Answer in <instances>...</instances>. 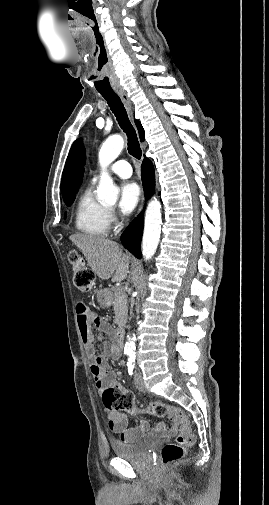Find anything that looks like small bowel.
<instances>
[{
    "mask_svg": "<svg viewBox=\"0 0 269 505\" xmlns=\"http://www.w3.org/2000/svg\"><path fill=\"white\" fill-rule=\"evenodd\" d=\"M77 319L85 354L90 363L91 375L94 378L97 390L103 392L114 384L115 381V374L109 370L107 358H119L121 348L115 342L102 341V351L99 355H96L93 328L98 330L101 340L104 336L114 337L115 331L111 324L81 303L77 306ZM105 411L107 413L109 429L118 434L122 442H134L150 431V424L145 419H141L137 426L130 428L128 427V418L126 415L107 408ZM154 431L159 436L172 435L177 432V427L174 426L171 429H167L165 424L159 423L155 426Z\"/></svg>",
    "mask_w": 269,
    "mask_h": 505,
    "instance_id": "obj_1",
    "label": "small bowel"
}]
</instances>
